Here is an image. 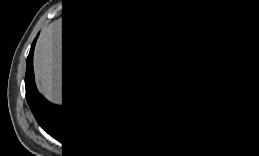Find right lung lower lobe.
Instances as JSON below:
<instances>
[{
	"instance_id": "98d812e1",
	"label": "right lung lower lobe",
	"mask_w": 259,
	"mask_h": 156,
	"mask_svg": "<svg viewBox=\"0 0 259 156\" xmlns=\"http://www.w3.org/2000/svg\"><path fill=\"white\" fill-rule=\"evenodd\" d=\"M38 35L27 57V102L38 124L50 136L63 145L85 148L104 134L115 103L130 88L133 77L127 71L111 74L108 67L118 65V51L87 47L85 34L80 56L70 65L62 35V106L52 104L35 85L33 53Z\"/></svg>"
}]
</instances>
